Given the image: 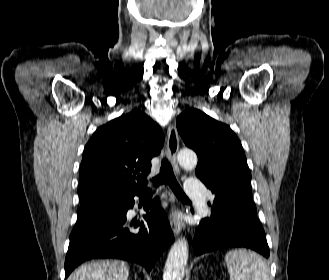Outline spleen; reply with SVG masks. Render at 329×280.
Here are the masks:
<instances>
[{
    "mask_svg": "<svg viewBox=\"0 0 329 280\" xmlns=\"http://www.w3.org/2000/svg\"><path fill=\"white\" fill-rule=\"evenodd\" d=\"M225 262L230 280H269V269L261 257L246 249L229 251Z\"/></svg>",
    "mask_w": 329,
    "mask_h": 280,
    "instance_id": "3e777b00",
    "label": "spleen"
}]
</instances>
